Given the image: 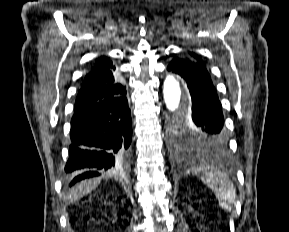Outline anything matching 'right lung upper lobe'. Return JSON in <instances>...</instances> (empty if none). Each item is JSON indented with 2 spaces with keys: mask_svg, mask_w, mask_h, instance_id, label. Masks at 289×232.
<instances>
[{
  "mask_svg": "<svg viewBox=\"0 0 289 232\" xmlns=\"http://www.w3.org/2000/svg\"><path fill=\"white\" fill-rule=\"evenodd\" d=\"M112 71H115V66L105 56L100 57L96 66L86 75L75 105L110 99L124 92L125 86Z\"/></svg>",
  "mask_w": 289,
  "mask_h": 232,
  "instance_id": "obj_1",
  "label": "right lung upper lobe"
}]
</instances>
